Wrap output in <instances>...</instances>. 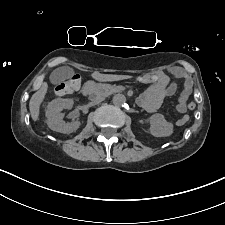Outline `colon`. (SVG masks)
Segmentation results:
<instances>
[{"label":"colon","mask_w":225,"mask_h":225,"mask_svg":"<svg viewBox=\"0 0 225 225\" xmlns=\"http://www.w3.org/2000/svg\"><path fill=\"white\" fill-rule=\"evenodd\" d=\"M138 81L145 84H151L156 81V76L153 74H146L138 77ZM81 84V79L78 75L73 76L66 82L60 83L56 91L59 95H67L73 92L74 90L78 89ZM187 109L192 110L195 108V103L193 101L189 102L186 105ZM188 122V119L182 118L180 120V125H184Z\"/></svg>","instance_id":"obj_1"}]
</instances>
